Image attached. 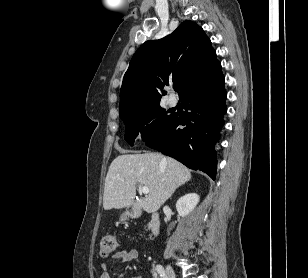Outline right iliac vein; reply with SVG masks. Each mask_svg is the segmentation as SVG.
<instances>
[{
  "label": "right iliac vein",
  "mask_w": 308,
  "mask_h": 278,
  "mask_svg": "<svg viewBox=\"0 0 308 278\" xmlns=\"http://www.w3.org/2000/svg\"><path fill=\"white\" fill-rule=\"evenodd\" d=\"M166 278H176L175 272L170 265L166 266Z\"/></svg>",
  "instance_id": "1"
}]
</instances>
